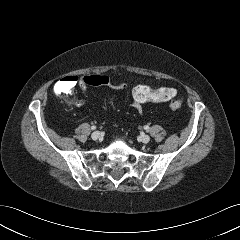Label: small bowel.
<instances>
[{"mask_svg": "<svg viewBox=\"0 0 240 240\" xmlns=\"http://www.w3.org/2000/svg\"><path fill=\"white\" fill-rule=\"evenodd\" d=\"M131 106H132L138 113H142V111H143L142 104H139V103H137L136 101L132 100Z\"/></svg>", "mask_w": 240, "mask_h": 240, "instance_id": "small-bowel-1", "label": "small bowel"}]
</instances>
